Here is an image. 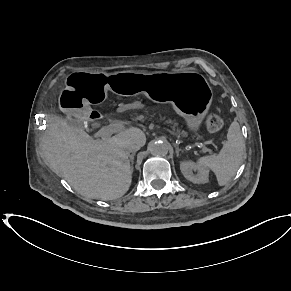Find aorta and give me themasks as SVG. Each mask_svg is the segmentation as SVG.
<instances>
[{
  "label": "aorta",
  "instance_id": "762f6f07",
  "mask_svg": "<svg viewBox=\"0 0 291 291\" xmlns=\"http://www.w3.org/2000/svg\"><path fill=\"white\" fill-rule=\"evenodd\" d=\"M149 151L154 156H165L169 151V147L162 141H155L150 144Z\"/></svg>",
  "mask_w": 291,
  "mask_h": 291
}]
</instances>
